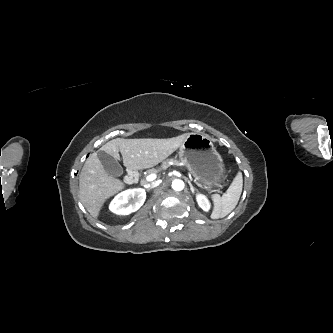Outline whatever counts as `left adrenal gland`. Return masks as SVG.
<instances>
[{"instance_id": "a2214340", "label": "left adrenal gland", "mask_w": 333, "mask_h": 333, "mask_svg": "<svg viewBox=\"0 0 333 333\" xmlns=\"http://www.w3.org/2000/svg\"><path fill=\"white\" fill-rule=\"evenodd\" d=\"M188 184H189V186H190V190H191V192L194 194V193H195V190H197V189H195V188L193 187V185H192V183H191L190 181H188Z\"/></svg>"}]
</instances>
